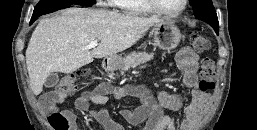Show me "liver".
<instances>
[{"instance_id":"6515ba94","label":"liver","mask_w":257,"mask_h":130,"mask_svg":"<svg viewBox=\"0 0 257 130\" xmlns=\"http://www.w3.org/2000/svg\"><path fill=\"white\" fill-rule=\"evenodd\" d=\"M156 17L122 15L106 10L69 8L39 22L26 50V65L33 93L39 95L54 72L72 73L94 58L115 55L134 45L155 24ZM99 44L85 49L91 41Z\"/></svg>"}]
</instances>
